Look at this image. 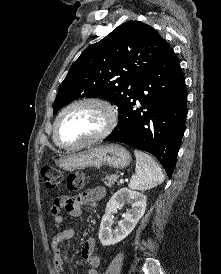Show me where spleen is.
Wrapping results in <instances>:
<instances>
[{
    "mask_svg": "<svg viewBox=\"0 0 221 274\" xmlns=\"http://www.w3.org/2000/svg\"><path fill=\"white\" fill-rule=\"evenodd\" d=\"M136 157L135 174L132 175L129 188L133 190L145 191L162 184L164 175L160 166L154 159L139 150L134 151Z\"/></svg>",
    "mask_w": 221,
    "mask_h": 274,
    "instance_id": "1",
    "label": "spleen"
}]
</instances>
